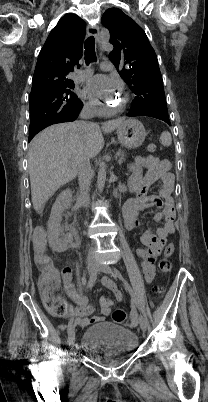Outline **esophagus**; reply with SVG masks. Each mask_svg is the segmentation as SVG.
Listing matches in <instances>:
<instances>
[{
    "instance_id": "esophagus-1",
    "label": "esophagus",
    "mask_w": 208,
    "mask_h": 402,
    "mask_svg": "<svg viewBox=\"0 0 208 402\" xmlns=\"http://www.w3.org/2000/svg\"><path fill=\"white\" fill-rule=\"evenodd\" d=\"M87 34L90 36L95 37V39L97 40L98 45H100V41H99V28L97 25H89L87 27Z\"/></svg>"
}]
</instances>
